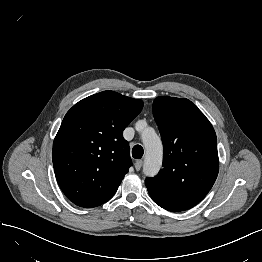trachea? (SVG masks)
Segmentation results:
<instances>
[{"instance_id": "trachea-1", "label": "trachea", "mask_w": 262, "mask_h": 262, "mask_svg": "<svg viewBox=\"0 0 262 262\" xmlns=\"http://www.w3.org/2000/svg\"><path fill=\"white\" fill-rule=\"evenodd\" d=\"M144 154V149L140 145H135L132 149V156L135 159H140Z\"/></svg>"}]
</instances>
